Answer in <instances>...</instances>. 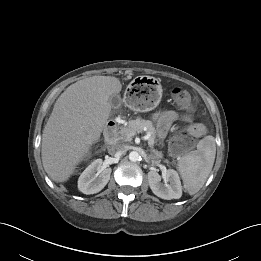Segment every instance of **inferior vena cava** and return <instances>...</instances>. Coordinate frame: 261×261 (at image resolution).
<instances>
[{"label": "inferior vena cava", "mask_w": 261, "mask_h": 261, "mask_svg": "<svg viewBox=\"0 0 261 261\" xmlns=\"http://www.w3.org/2000/svg\"><path fill=\"white\" fill-rule=\"evenodd\" d=\"M126 151V147L121 144L113 145L109 148V153L115 157H120L121 155L125 154Z\"/></svg>", "instance_id": "obj_1"}]
</instances>
